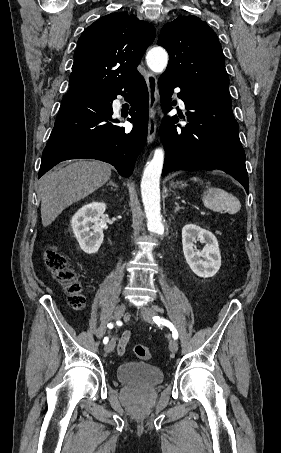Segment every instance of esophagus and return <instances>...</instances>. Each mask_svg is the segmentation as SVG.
<instances>
[{
    "mask_svg": "<svg viewBox=\"0 0 281 453\" xmlns=\"http://www.w3.org/2000/svg\"><path fill=\"white\" fill-rule=\"evenodd\" d=\"M145 80L149 93V121H148V143L153 142L157 129V79L149 71L145 72Z\"/></svg>",
    "mask_w": 281,
    "mask_h": 453,
    "instance_id": "1",
    "label": "esophagus"
}]
</instances>
